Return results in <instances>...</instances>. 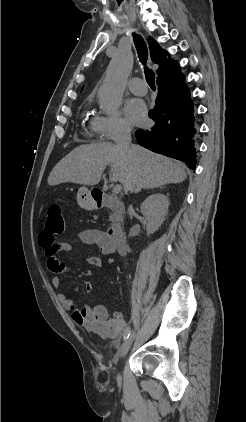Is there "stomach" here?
Returning <instances> with one entry per match:
<instances>
[{
	"label": "stomach",
	"mask_w": 246,
	"mask_h": 422,
	"mask_svg": "<svg viewBox=\"0 0 246 422\" xmlns=\"http://www.w3.org/2000/svg\"><path fill=\"white\" fill-rule=\"evenodd\" d=\"M77 202L79 206L85 210H93L96 208V201L91 194V190L87 187H80L77 193Z\"/></svg>",
	"instance_id": "stomach-1"
}]
</instances>
